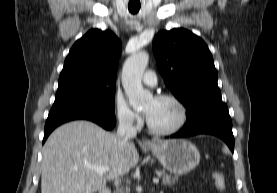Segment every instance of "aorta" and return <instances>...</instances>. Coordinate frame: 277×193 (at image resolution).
I'll use <instances>...</instances> for the list:
<instances>
[{
	"instance_id": "762f6f07",
	"label": "aorta",
	"mask_w": 277,
	"mask_h": 193,
	"mask_svg": "<svg viewBox=\"0 0 277 193\" xmlns=\"http://www.w3.org/2000/svg\"><path fill=\"white\" fill-rule=\"evenodd\" d=\"M149 55L146 51L132 54L122 69V86L129 98V104L136 108L152 98V94L143 89L142 76L148 65Z\"/></svg>"
}]
</instances>
